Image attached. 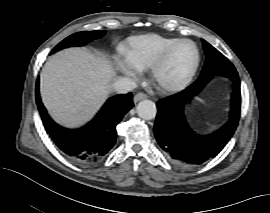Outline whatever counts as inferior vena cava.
<instances>
[{
    "label": "inferior vena cava",
    "instance_id": "inferior-vena-cava-1",
    "mask_svg": "<svg viewBox=\"0 0 270 213\" xmlns=\"http://www.w3.org/2000/svg\"><path fill=\"white\" fill-rule=\"evenodd\" d=\"M137 87V84L130 78H120L114 81L113 89L117 93H127Z\"/></svg>",
    "mask_w": 270,
    "mask_h": 213
}]
</instances>
